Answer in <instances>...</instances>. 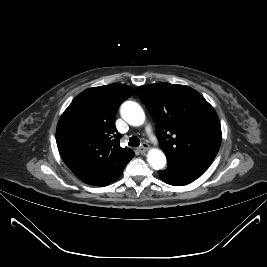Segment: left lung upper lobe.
<instances>
[{
    "mask_svg": "<svg viewBox=\"0 0 267 267\" xmlns=\"http://www.w3.org/2000/svg\"><path fill=\"white\" fill-rule=\"evenodd\" d=\"M151 114L159 144L172 157L206 170L221 145V126L213 107L196 90L158 83L136 88Z\"/></svg>",
    "mask_w": 267,
    "mask_h": 267,
    "instance_id": "5c2ea615",
    "label": "left lung upper lobe"
}]
</instances>
